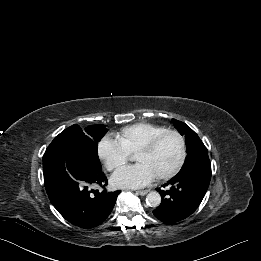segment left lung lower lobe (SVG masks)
<instances>
[{
    "mask_svg": "<svg viewBox=\"0 0 261 261\" xmlns=\"http://www.w3.org/2000/svg\"><path fill=\"white\" fill-rule=\"evenodd\" d=\"M210 179L211 164L207 155L163 185V187L169 185L170 190L163 191L157 188L162 202L153 214L157 219L168 224L187 218L204 198Z\"/></svg>",
    "mask_w": 261,
    "mask_h": 261,
    "instance_id": "0a47b994",
    "label": "left lung lower lobe"
}]
</instances>
